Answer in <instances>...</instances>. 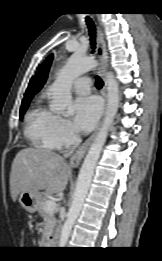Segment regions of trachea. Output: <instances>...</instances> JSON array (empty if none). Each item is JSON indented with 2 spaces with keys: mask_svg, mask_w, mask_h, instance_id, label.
I'll return each instance as SVG.
<instances>
[{
  "mask_svg": "<svg viewBox=\"0 0 162 261\" xmlns=\"http://www.w3.org/2000/svg\"><path fill=\"white\" fill-rule=\"evenodd\" d=\"M86 24H87L88 30H89L91 46H92V49L94 50L95 49V45H96V43H95V26H94L93 21L89 17H86ZM103 84L104 83H103L102 79L97 76L96 77V87L98 89H101Z\"/></svg>",
  "mask_w": 162,
  "mask_h": 261,
  "instance_id": "trachea-1",
  "label": "trachea"
}]
</instances>
